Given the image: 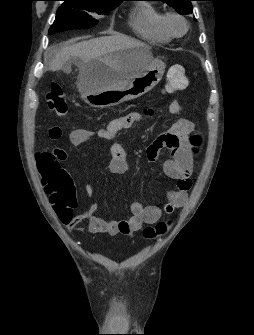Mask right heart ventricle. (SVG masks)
I'll return each mask as SVG.
<instances>
[{
    "instance_id": "e07e8e85",
    "label": "right heart ventricle",
    "mask_w": 254,
    "mask_h": 335,
    "mask_svg": "<svg viewBox=\"0 0 254 335\" xmlns=\"http://www.w3.org/2000/svg\"><path fill=\"white\" fill-rule=\"evenodd\" d=\"M164 13L152 4H138L131 10L128 25L140 38L153 43H167L171 37L162 28Z\"/></svg>"
}]
</instances>
